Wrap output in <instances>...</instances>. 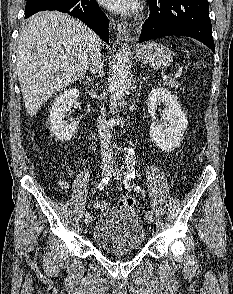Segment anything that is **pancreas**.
I'll return each mask as SVG.
<instances>
[{"label": "pancreas", "mask_w": 233, "mask_h": 294, "mask_svg": "<svg viewBox=\"0 0 233 294\" xmlns=\"http://www.w3.org/2000/svg\"><path fill=\"white\" fill-rule=\"evenodd\" d=\"M165 84H167L168 86L172 88H179V83L175 80H168L165 82Z\"/></svg>", "instance_id": "obj_1"}]
</instances>
